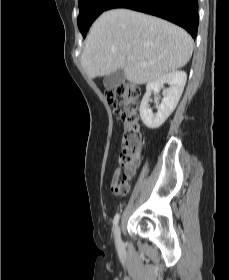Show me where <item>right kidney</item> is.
Returning a JSON list of instances; mask_svg holds the SVG:
<instances>
[{"label":"right kidney","mask_w":229,"mask_h":280,"mask_svg":"<svg viewBox=\"0 0 229 280\" xmlns=\"http://www.w3.org/2000/svg\"><path fill=\"white\" fill-rule=\"evenodd\" d=\"M187 74L184 71H173L146 86V93L140 104V117L143 123L150 129L159 128L175 110L186 84ZM169 84V88L163 93L162 103L157 107L154 115L149 108V100L152 91L159 92L163 85Z\"/></svg>","instance_id":"right-kidney-1"}]
</instances>
